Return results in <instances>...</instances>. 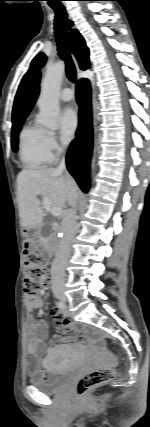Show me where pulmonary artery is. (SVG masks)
<instances>
[{
    "instance_id": "pulmonary-artery-1",
    "label": "pulmonary artery",
    "mask_w": 150,
    "mask_h": 427,
    "mask_svg": "<svg viewBox=\"0 0 150 427\" xmlns=\"http://www.w3.org/2000/svg\"><path fill=\"white\" fill-rule=\"evenodd\" d=\"M59 98L62 101H70L73 98V93L71 91L70 88H64L60 94H59Z\"/></svg>"
}]
</instances>
